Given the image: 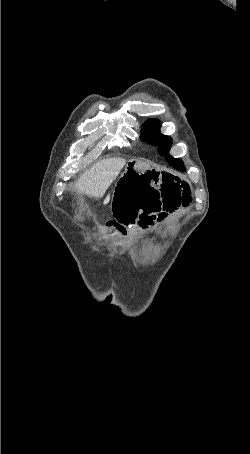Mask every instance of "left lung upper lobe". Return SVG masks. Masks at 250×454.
<instances>
[{
  "instance_id": "1",
  "label": "left lung upper lobe",
  "mask_w": 250,
  "mask_h": 454,
  "mask_svg": "<svg viewBox=\"0 0 250 454\" xmlns=\"http://www.w3.org/2000/svg\"><path fill=\"white\" fill-rule=\"evenodd\" d=\"M160 122L158 120L149 119L143 124L141 139L149 144L158 147V152L165 156L167 161L175 160L168 154L171 145V138L160 133Z\"/></svg>"
}]
</instances>
